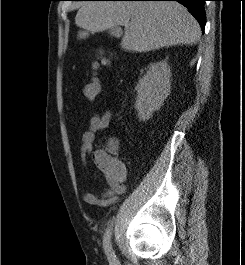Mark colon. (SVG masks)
I'll return each instance as SVG.
<instances>
[{
    "mask_svg": "<svg viewBox=\"0 0 245 265\" xmlns=\"http://www.w3.org/2000/svg\"><path fill=\"white\" fill-rule=\"evenodd\" d=\"M99 63L104 65L110 64V58L102 51L97 54V58L92 61V69L96 70ZM84 96L89 101H94L98 98L100 93L99 80L94 76L84 86ZM97 167L103 173L110 178L116 179L124 175L125 169L122 162H120L113 154L102 151L97 156Z\"/></svg>",
    "mask_w": 245,
    "mask_h": 265,
    "instance_id": "1",
    "label": "colon"
}]
</instances>
